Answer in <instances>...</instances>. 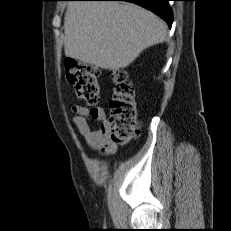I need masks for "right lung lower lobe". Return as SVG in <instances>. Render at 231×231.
I'll use <instances>...</instances> for the list:
<instances>
[{
  "mask_svg": "<svg viewBox=\"0 0 231 231\" xmlns=\"http://www.w3.org/2000/svg\"><path fill=\"white\" fill-rule=\"evenodd\" d=\"M83 1H128L138 4L154 12L162 19H164L170 27L173 21L172 11L168 5L169 0H83Z\"/></svg>",
  "mask_w": 231,
  "mask_h": 231,
  "instance_id": "obj_1",
  "label": "right lung lower lobe"
}]
</instances>
